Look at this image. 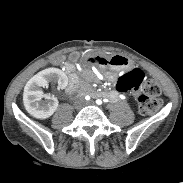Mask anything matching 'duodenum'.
I'll return each instance as SVG.
<instances>
[{"label": "duodenum", "instance_id": "410a0bca", "mask_svg": "<svg viewBox=\"0 0 183 183\" xmlns=\"http://www.w3.org/2000/svg\"><path fill=\"white\" fill-rule=\"evenodd\" d=\"M77 86V78L74 75H71L70 81L67 87L68 92H74Z\"/></svg>", "mask_w": 183, "mask_h": 183}]
</instances>
